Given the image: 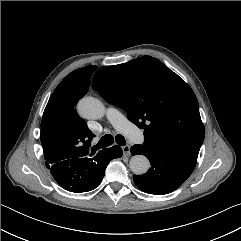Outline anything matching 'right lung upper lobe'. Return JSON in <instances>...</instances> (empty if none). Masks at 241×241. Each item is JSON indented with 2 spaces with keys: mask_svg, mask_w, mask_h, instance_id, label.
I'll return each mask as SVG.
<instances>
[{
  "mask_svg": "<svg viewBox=\"0 0 241 241\" xmlns=\"http://www.w3.org/2000/svg\"><path fill=\"white\" fill-rule=\"evenodd\" d=\"M96 66L73 71L56 87L43 113L40 139L45 159L58 161L90 153L94 134L76 114L75 105L87 92Z\"/></svg>",
  "mask_w": 241,
  "mask_h": 241,
  "instance_id": "right-lung-upper-lobe-1",
  "label": "right lung upper lobe"
}]
</instances>
